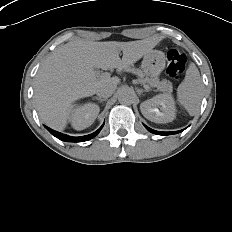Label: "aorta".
I'll list each match as a JSON object with an SVG mask.
<instances>
[{
    "label": "aorta",
    "instance_id": "1",
    "mask_svg": "<svg viewBox=\"0 0 232 232\" xmlns=\"http://www.w3.org/2000/svg\"><path fill=\"white\" fill-rule=\"evenodd\" d=\"M118 100L122 104H132L134 100V92L129 88H123L118 94Z\"/></svg>",
    "mask_w": 232,
    "mask_h": 232
}]
</instances>
